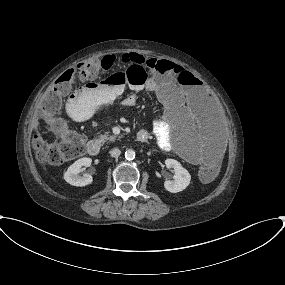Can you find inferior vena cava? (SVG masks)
I'll list each match as a JSON object with an SVG mask.
<instances>
[{
	"mask_svg": "<svg viewBox=\"0 0 285 285\" xmlns=\"http://www.w3.org/2000/svg\"><path fill=\"white\" fill-rule=\"evenodd\" d=\"M120 154H121V151H120V149H118V148H114V149H112V150L110 151V155H111L112 157H114V158L119 157Z\"/></svg>",
	"mask_w": 285,
	"mask_h": 285,
	"instance_id": "obj_1",
	"label": "inferior vena cava"
}]
</instances>
